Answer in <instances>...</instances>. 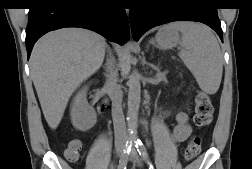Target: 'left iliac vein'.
I'll use <instances>...</instances> for the list:
<instances>
[{
    "label": "left iliac vein",
    "instance_id": "1",
    "mask_svg": "<svg viewBox=\"0 0 252 169\" xmlns=\"http://www.w3.org/2000/svg\"><path fill=\"white\" fill-rule=\"evenodd\" d=\"M128 159L138 166L142 165L139 155L134 148L132 149L131 154Z\"/></svg>",
    "mask_w": 252,
    "mask_h": 169
}]
</instances>
